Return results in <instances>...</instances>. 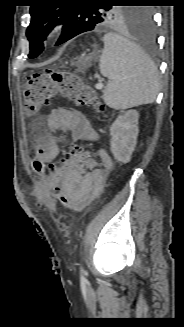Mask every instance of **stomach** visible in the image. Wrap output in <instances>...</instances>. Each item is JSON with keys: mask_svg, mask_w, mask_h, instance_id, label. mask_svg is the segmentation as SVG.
I'll return each instance as SVG.
<instances>
[{"mask_svg": "<svg viewBox=\"0 0 184 327\" xmlns=\"http://www.w3.org/2000/svg\"><path fill=\"white\" fill-rule=\"evenodd\" d=\"M91 59H92L91 56H88V55L82 56L80 61H79V65L81 66V68L82 69L87 68L90 65Z\"/></svg>", "mask_w": 184, "mask_h": 327, "instance_id": "stomach-1", "label": "stomach"}]
</instances>
